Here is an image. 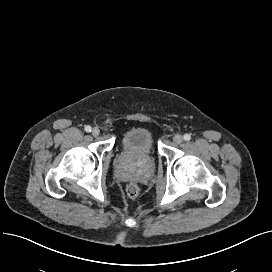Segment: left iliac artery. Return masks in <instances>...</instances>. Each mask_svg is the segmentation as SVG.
I'll use <instances>...</instances> for the list:
<instances>
[{
	"label": "left iliac artery",
	"instance_id": "1",
	"mask_svg": "<svg viewBox=\"0 0 272 272\" xmlns=\"http://www.w3.org/2000/svg\"><path fill=\"white\" fill-rule=\"evenodd\" d=\"M190 139H191L190 134H185L184 135V140L189 141Z\"/></svg>",
	"mask_w": 272,
	"mask_h": 272
}]
</instances>
